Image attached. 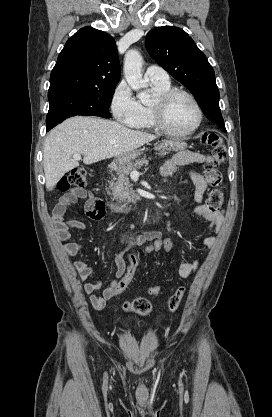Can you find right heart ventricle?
<instances>
[{
    "label": "right heart ventricle",
    "mask_w": 272,
    "mask_h": 417,
    "mask_svg": "<svg viewBox=\"0 0 272 417\" xmlns=\"http://www.w3.org/2000/svg\"><path fill=\"white\" fill-rule=\"evenodd\" d=\"M151 87L156 96L169 90L171 88L170 82L168 84H156L151 82ZM130 127L139 130H155L151 115V105L140 103V114L137 120L130 125Z\"/></svg>",
    "instance_id": "1"
}]
</instances>
